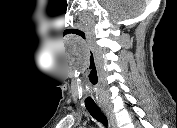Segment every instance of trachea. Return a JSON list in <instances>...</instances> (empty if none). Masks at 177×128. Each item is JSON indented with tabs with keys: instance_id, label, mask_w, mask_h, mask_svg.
Instances as JSON below:
<instances>
[{
	"instance_id": "obj_1",
	"label": "trachea",
	"mask_w": 177,
	"mask_h": 128,
	"mask_svg": "<svg viewBox=\"0 0 177 128\" xmlns=\"http://www.w3.org/2000/svg\"><path fill=\"white\" fill-rule=\"evenodd\" d=\"M86 109L94 119L102 123L104 126H108V120L98 106H86Z\"/></svg>"
}]
</instances>
